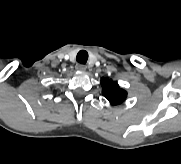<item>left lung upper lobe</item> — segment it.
I'll return each mask as SVG.
<instances>
[{"mask_svg": "<svg viewBox=\"0 0 181 164\" xmlns=\"http://www.w3.org/2000/svg\"><path fill=\"white\" fill-rule=\"evenodd\" d=\"M102 94L112 104L119 105L123 103L127 97V92L120 88L117 82L108 79H101Z\"/></svg>", "mask_w": 181, "mask_h": 164, "instance_id": "5c2ea615", "label": "left lung upper lobe"}]
</instances>
